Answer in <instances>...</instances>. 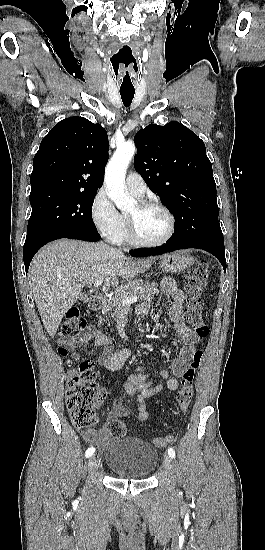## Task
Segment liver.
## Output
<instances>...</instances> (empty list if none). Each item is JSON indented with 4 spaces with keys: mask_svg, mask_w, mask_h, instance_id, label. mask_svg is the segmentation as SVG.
I'll list each match as a JSON object with an SVG mask.
<instances>
[{
    "mask_svg": "<svg viewBox=\"0 0 265 550\" xmlns=\"http://www.w3.org/2000/svg\"><path fill=\"white\" fill-rule=\"evenodd\" d=\"M153 262L133 261L104 243L60 239L44 246L33 258L28 278L47 333L55 336L85 285L101 279L107 287H118L119 277L131 279Z\"/></svg>",
    "mask_w": 265,
    "mask_h": 550,
    "instance_id": "liver-1",
    "label": "liver"
}]
</instances>
